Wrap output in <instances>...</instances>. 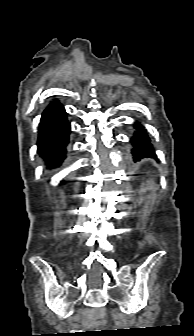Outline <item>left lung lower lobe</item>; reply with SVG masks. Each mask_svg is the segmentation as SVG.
Instances as JSON below:
<instances>
[{"label": "left lung lower lobe", "instance_id": "obj_1", "mask_svg": "<svg viewBox=\"0 0 194 336\" xmlns=\"http://www.w3.org/2000/svg\"><path fill=\"white\" fill-rule=\"evenodd\" d=\"M135 129H137V131L131 138V143L133 144L131 150L133 160L136 162L143 158L156 157L150 139L147 136L146 131L143 130V126L136 123Z\"/></svg>", "mask_w": 194, "mask_h": 336}]
</instances>
